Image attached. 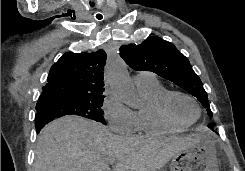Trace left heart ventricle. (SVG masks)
<instances>
[{
	"instance_id": "b2bd125f",
	"label": "left heart ventricle",
	"mask_w": 245,
	"mask_h": 171,
	"mask_svg": "<svg viewBox=\"0 0 245 171\" xmlns=\"http://www.w3.org/2000/svg\"><path fill=\"white\" fill-rule=\"evenodd\" d=\"M170 110L177 120L184 123L192 122L197 117L195 105L182 96H174L171 99Z\"/></svg>"
}]
</instances>
